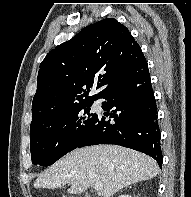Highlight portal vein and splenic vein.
Segmentation results:
<instances>
[{
  "instance_id": "1",
  "label": "portal vein and splenic vein",
  "mask_w": 191,
  "mask_h": 197,
  "mask_svg": "<svg viewBox=\"0 0 191 197\" xmlns=\"http://www.w3.org/2000/svg\"><path fill=\"white\" fill-rule=\"evenodd\" d=\"M102 187H103L102 183H96V184L94 185V189L97 190V191L102 190Z\"/></svg>"
}]
</instances>
